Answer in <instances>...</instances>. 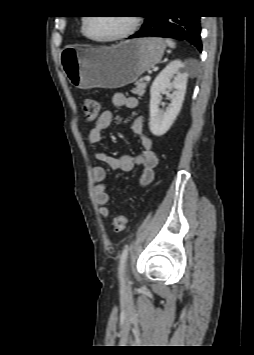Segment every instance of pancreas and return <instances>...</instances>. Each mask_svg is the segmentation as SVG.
I'll list each match as a JSON object with an SVG mask.
<instances>
[{"mask_svg":"<svg viewBox=\"0 0 254 355\" xmlns=\"http://www.w3.org/2000/svg\"><path fill=\"white\" fill-rule=\"evenodd\" d=\"M147 82L144 81H137L136 87L132 90V93L138 96H143L145 93V88L147 87Z\"/></svg>","mask_w":254,"mask_h":355,"instance_id":"pancreas-1","label":"pancreas"}]
</instances>
